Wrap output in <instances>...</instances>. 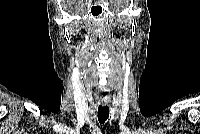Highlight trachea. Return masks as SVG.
Instances as JSON below:
<instances>
[{"instance_id": "3493384b", "label": "trachea", "mask_w": 200, "mask_h": 134, "mask_svg": "<svg viewBox=\"0 0 200 134\" xmlns=\"http://www.w3.org/2000/svg\"><path fill=\"white\" fill-rule=\"evenodd\" d=\"M109 117V108L107 106H99L98 107V120L99 122L105 123V121L108 119Z\"/></svg>"}]
</instances>
